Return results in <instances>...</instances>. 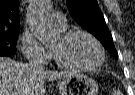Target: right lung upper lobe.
I'll return each mask as SVG.
<instances>
[{
  "instance_id": "obj_1",
  "label": "right lung upper lobe",
  "mask_w": 135,
  "mask_h": 95,
  "mask_svg": "<svg viewBox=\"0 0 135 95\" xmlns=\"http://www.w3.org/2000/svg\"><path fill=\"white\" fill-rule=\"evenodd\" d=\"M19 29V0H0V32Z\"/></svg>"
}]
</instances>
